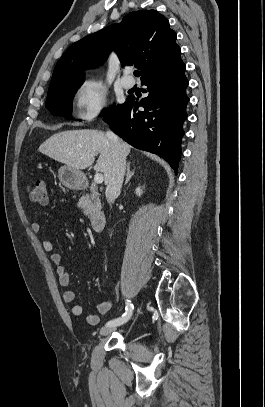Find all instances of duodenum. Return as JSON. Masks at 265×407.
<instances>
[{"mask_svg": "<svg viewBox=\"0 0 265 407\" xmlns=\"http://www.w3.org/2000/svg\"><path fill=\"white\" fill-rule=\"evenodd\" d=\"M87 186V183H83L81 185L82 188H85ZM90 222H91V227L93 231L95 232H102L105 225H106V216L103 211L101 210H93L90 213Z\"/></svg>", "mask_w": 265, "mask_h": 407, "instance_id": "obj_1", "label": "duodenum"}]
</instances>
